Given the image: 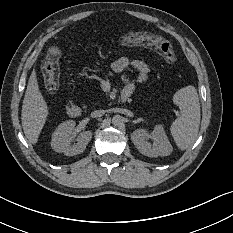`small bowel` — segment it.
I'll list each match as a JSON object with an SVG mask.
<instances>
[{
	"instance_id": "1",
	"label": "small bowel",
	"mask_w": 233,
	"mask_h": 233,
	"mask_svg": "<svg viewBox=\"0 0 233 233\" xmlns=\"http://www.w3.org/2000/svg\"><path fill=\"white\" fill-rule=\"evenodd\" d=\"M132 67L136 70V74L134 78H131L128 74H125V70L128 67ZM111 69L118 74L121 75V81L123 84V88L121 91L122 100H128L135 92V83H144L147 81L150 73L155 71L153 65L146 62L143 57H139L133 60H130L128 57L121 56L115 59L111 63ZM103 85L108 88L109 83L103 82Z\"/></svg>"
}]
</instances>
